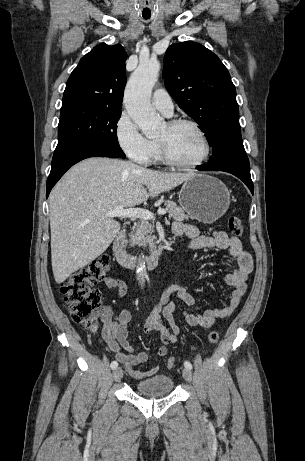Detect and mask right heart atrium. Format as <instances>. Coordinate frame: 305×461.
<instances>
[{
	"label": "right heart atrium",
	"mask_w": 305,
	"mask_h": 461,
	"mask_svg": "<svg viewBox=\"0 0 305 461\" xmlns=\"http://www.w3.org/2000/svg\"><path fill=\"white\" fill-rule=\"evenodd\" d=\"M116 141L122 151L134 162L148 164L153 142L146 138L131 117L123 112L115 126Z\"/></svg>",
	"instance_id": "d8ad5b80"
}]
</instances>
